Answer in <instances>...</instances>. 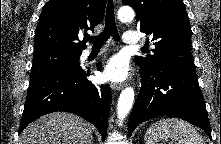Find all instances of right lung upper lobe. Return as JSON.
<instances>
[{"label":"right lung upper lobe","mask_w":221,"mask_h":144,"mask_svg":"<svg viewBox=\"0 0 221 144\" xmlns=\"http://www.w3.org/2000/svg\"><path fill=\"white\" fill-rule=\"evenodd\" d=\"M106 0H50L44 6L34 38L35 53H81L79 35L94 30L104 18Z\"/></svg>","instance_id":"1"}]
</instances>
